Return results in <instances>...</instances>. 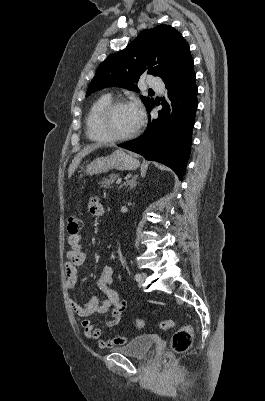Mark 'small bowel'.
Masks as SVG:
<instances>
[{
	"label": "small bowel",
	"mask_w": 265,
	"mask_h": 401,
	"mask_svg": "<svg viewBox=\"0 0 265 401\" xmlns=\"http://www.w3.org/2000/svg\"><path fill=\"white\" fill-rule=\"evenodd\" d=\"M88 209L94 216L100 217L104 214V208L97 197L89 201ZM69 250L66 253L67 262L65 263L66 286L72 289L78 282V268L84 264L86 253L82 247V237L79 234L68 237ZM114 270L111 266L103 267L98 279L97 286L106 296L100 299L92 296L85 303H77L70 299V306L74 313L82 320L81 327L87 339L96 341L101 349H112L127 342L126 337L116 336L111 339L101 338V330L90 322L87 317L98 313L103 315L110 314L111 318L106 320L108 327H114L120 321L123 311L126 309V302L121 300L119 294L112 289Z\"/></svg>",
	"instance_id": "1"
}]
</instances>
